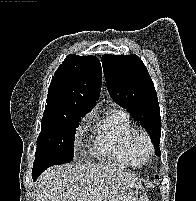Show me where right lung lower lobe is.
Instances as JSON below:
<instances>
[{
	"label": "right lung lower lobe",
	"instance_id": "obj_1",
	"mask_svg": "<svg viewBox=\"0 0 196 201\" xmlns=\"http://www.w3.org/2000/svg\"><path fill=\"white\" fill-rule=\"evenodd\" d=\"M40 174L41 173L32 172V178H33V180L35 181Z\"/></svg>",
	"mask_w": 196,
	"mask_h": 201
}]
</instances>
